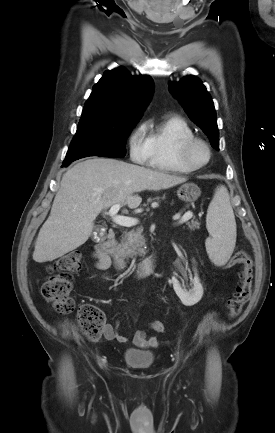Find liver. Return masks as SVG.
Returning a JSON list of instances; mask_svg holds the SVG:
<instances>
[{"instance_id":"6515ba94","label":"liver","mask_w":275,"mask_h":433,"mask_svg":"<svg viewBox=\"0 0 275 433\" xmlns=\"http://www.w3.org/2000/svg\"><path fill=\"white\" fill-rule=\"evenodd\" d=\"M186 181L110 158L77 163L62 177L50 215L36 239L33 260L53 261L77 249L88 240L103 210L115 204L137 208L142 198L135 193L168 189Z\"/></svg>"}]
</instances>
